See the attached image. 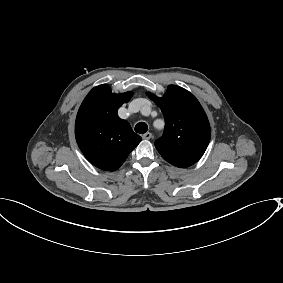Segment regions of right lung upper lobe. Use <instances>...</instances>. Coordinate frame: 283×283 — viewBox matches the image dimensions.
Instances as JSON below:
<instances>
[{"label": "right lung upper lobe", "mask_w": 283, "mask_h": 283, "mask_svg": "<svg viewBox=\"0 0 283 283\" xmlns=\"http://www.w3.org/2000/svg\"><path fill=\"white\" fill-rule=\"evenodd\" d=\"M132 92L115 94L108 85L93 88L82 102L75 124V137L85 157L97 168L117 170L140 143L129 123L117 110Z\"/></svg>", "instance_id": "cb5924a9"}]
</instances>
